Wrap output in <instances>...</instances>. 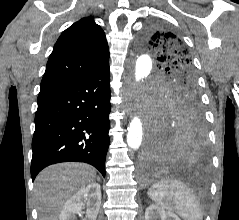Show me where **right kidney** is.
I'll use <instances>...</instances> for the list:
<instances>
[{"label":"right kidney","mask_w":239,"mask_h":220,"mask_svg":"<svg viewBox=\"0 0 239 220\" xmlns=\"http://www.w3.org/2000/svg\"><path fill=\"white\" fill-rule=\"evenodd\" d=\"M87 206L84 220H96L101 205V188L96 182L80 188L64 204L59 220H75L76 215Z\"/></svg>","instance_id":"right-kidney-1"}]
</instances>
